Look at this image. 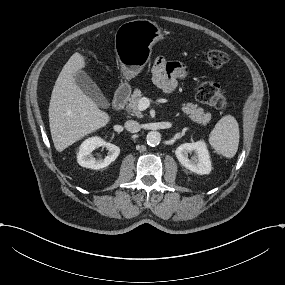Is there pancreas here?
Instances as JSON below:
<instances>
[{
    "label": "pancreas",
    "instance_id": "pancreas-1",
    "mask_svg": "<svg viewBox=\"0 0 285 285\" xmlns=\"http://www.w3.org/2000/svg\"><path fill=\"white\" fill-rule=\"evenodd\" d=\"M142 97V93L139 89H135L133 94L131 95L129 104L126 106V111L129 113H133L138 118H142L143 115L138 109V103ZM182 111L189 115V118L199 124L207 125V123L211 120V114L204 113V109L198 107V105L193 103H187L182 106Z\"/></svg>",
    "mask_w": 285,
    "mask_h": 285
}]
</instances>
